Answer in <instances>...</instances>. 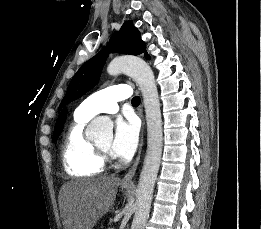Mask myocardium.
Wrapping results in <instances>:
<instances>
[{"mask_svg":"<svg viewBox=\"0 0 261 229\" xmlns=\"http://www.w3.org/2000/svg\"><path fill=\"white\" fill-rule=\"evenodd\" d=\"M96 146H97V148L99 149V151L101 152V154H103V155H105V156H109L110 153H109V150H108V149L102 147V146L99 145V144H97Z\"/></svg>","mask_w":261,"mask_h":229,"instance_id":"myocardium-1","label":"myocardium"}]
</instances>
